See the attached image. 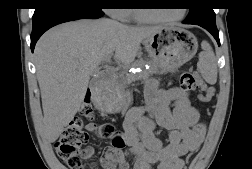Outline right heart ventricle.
Here are the masks:
<instances>
[{
	"label": "right heart ventricle",
	"instance_id": "1",
	"mask_svg": "<svg viewBox=\"0 0 252 169\" xmlns=\"http://www.w3.org/2000/svg\"><path fill=\"white\" fill-rule=\"evenodd\" d=\"M127 19H128V20L135 19L134 13H133L132 10H128V11H127Z\"/></svg>",
	"mask_w": 252,
	"mask_h": 169
}]
</instances>
